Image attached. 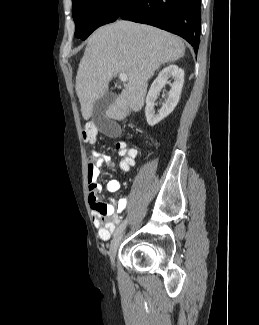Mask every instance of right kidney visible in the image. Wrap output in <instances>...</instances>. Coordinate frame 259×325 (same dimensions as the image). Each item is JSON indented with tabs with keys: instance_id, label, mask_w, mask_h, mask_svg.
<instances>
[{
	"instance_id": "1",
	"label": "right kidney",
	"mask_w": 259,
	"mask_h": 325,
	"mask_svg": "<svg viewBox=\"0 0 259 325\" xmlns=\"http://www.w3.org/2000/svg\"><path fill=\"white\" fill-rule=\"evenodd\" d=\"M173 78L174 82L171 85L169 97L163 104L158 114H155V101L159 91L168 83L169 78ZM184 84V70L177 65H169L165 67L152 83L150 90L146 97L145 116L147 123L150 126H154L167 117L177 106L182 87Z\"/></svg>"
}]
</instances>
